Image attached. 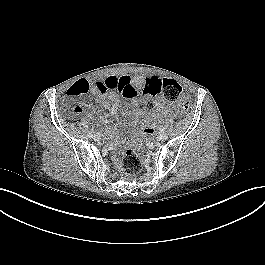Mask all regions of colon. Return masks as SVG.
Returning <instances> with one entry per match:
<instances>
[{"instance_id":"obj_1","label":"colon","mask_w":265,"mask_h":265,"mask_svg":"<svg viewBox=\"0 0 265 265\" xmlns=\"http://www.w3.org/2000/svg\"><path fill=\"white\" fill-rule=\"evenodd\" d=\"M90 89V83L87 81H78L74 83L68 89V96L70 98H83ZM152 92L154 95L162 94L167 103H175L180 105L183 109H188L190 101L182 95V87L180 84L171 78H162L160 80L154 79L152 81ZM145 107L148 112L153 108V103L147 101ZM70 108L74 112H80L81 107L76 104H71ZM142 166V159L140 154V148L137 144V138L134 136L123 157H122V167L123 170L130 176H136Z\"/></svg>"}]
</instances>
